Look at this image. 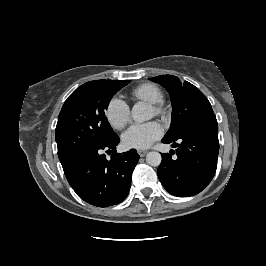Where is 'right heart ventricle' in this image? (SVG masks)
Masks as SVG:
<instances>
[{"label":"right heart ventricle","mask_w":266,"mask_h":266,"mask_svg":"<svg viewBox=\"0 0 266 266\" xmlns=\"http://www.w3.org/2000/svg\"><path fill=\"white\" fill-rule=\"evenodd\" d=\"M132 96L150 104L162 101L164 97L162 90L152 83L139 85L132 91Z\"/></svg>","instance_id":"e07e8e85"}]
</instances>
